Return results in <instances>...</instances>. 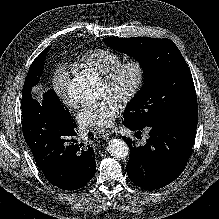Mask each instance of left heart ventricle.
Returning a JSON list of instances; mask_svg holds the SVG:
<instances>
[{"instance_id":"obj_1","label":"left heart ventricle","mask_w":219,"mask_h":219,"mask_svg":"<svg viewBox=\"0 0 219 219\" xmlns=\"http://www.w3.org/2000/svg\"><path fill=\"white\" fill-rule=\"evenodd\" d=\"M134 79V73L131 70L125 71L120 77L114 88H108L103 82L101 83V96L111 95L118 101L128 92Z\"/></svg>"}]
</instances>
